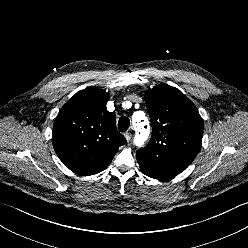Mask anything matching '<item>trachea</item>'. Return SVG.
<instances>
[{
  "label": "trachea",
  "instance_id": "3493384b",
  "mask_svg": "<svg viewBox=\"0 0 248 248\" xmlns=\"http://www.w3.org/2000/svg\"><path fill=\"white\" fill-rule=\"evenodd\" d=\"M130 126V120L127 117H121L118 121V129L120 132H125Z\"/></svg>",
  "mask_w": 248,
  "mask_h": 248
}]
</instances>
